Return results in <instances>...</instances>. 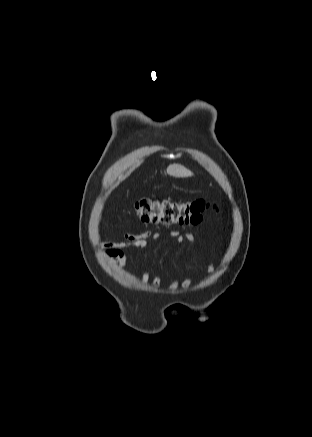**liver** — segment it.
Segmentation results:
<instances>
[{
    "label": "liver",
    "instance_id": "liver-1",
    "mask_svg": "<svg viewBox=\"0 0 312 437\" xmlns=\"http://www.w3.org/2000/svg\"><path fill=\"white\" fill-rule=\"evenodd\" d=\"M167 173L175 177H189L193 175L190 170L179 164L169 165L167 168Z\"/></svg>",
    "mask_w": 312,
    "mask_h": 437
}]
</instances>
